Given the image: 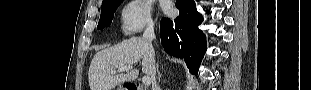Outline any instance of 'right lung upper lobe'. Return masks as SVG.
Wrapping results in <instances>:
<instances>
[{"mask_svg": "<svg viewBox=\"0 0 311 90\" xmlns=\"http://www.w3.org/2000/svg\"><path fill=\"white\" fill-rule=\"evenodd\" d=\"M108 1H110V0H103L102 4H104V3L108 2Z\"/></svg>", "mask_w": 311, "mask_h": 90, "instance_id": "right-lung-upper-lobe-1", "label": "right lung upper lobe"}]
</instances>
